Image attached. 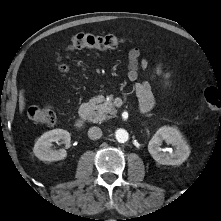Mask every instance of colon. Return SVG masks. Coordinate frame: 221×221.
Segmentation results:
<instances>
[{
  "label": "colon",
  "mask_w": 221,
  "mask_h": 221,
  "mask_svg": "<svg viewBox=\"0 0 221 221\" xmlns=\"http://www.w3.org/2000/svg\"><path fill=\"white\" fill-rule=\"evenodd\" d=\"M122 41V37L115 34L93 35L79 33L71 38L68 48L70 50L96 49L105 51L118 47ZM59 70L62 73H66L68 68L62 64L59 66ZM204 99L211 111H216L221 105V94L213 87L205 89ZM28 116L34 122L47 126L55 124L57 119V114L54 110L40 105L31 106L28 110Z\"/></svg>",
  "instance_id": "1"
}]
</instances>
